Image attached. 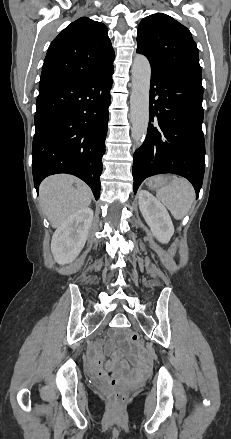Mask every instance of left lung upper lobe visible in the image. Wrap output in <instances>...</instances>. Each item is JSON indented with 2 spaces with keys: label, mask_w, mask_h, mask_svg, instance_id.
<instances>
[{
  "label": "left lung upper lobe",
  "mask_w": 231,
  "mask_h": 439,
  "mask_svg": "<svg viewBox=\"0 0 231 439\" xmlns=\"http://www.w3.org/2000/svg\"><path fill=\"white\" fill-rule=\"evenodd\" d=\"M137 53L144 54L152 71L201 78L198 48L188 28L172 17L156 13L138 26Z\"/></svg>",
  "instance_id": "1"
}]
</instances>
